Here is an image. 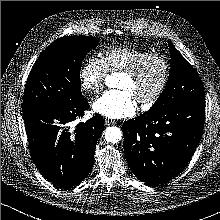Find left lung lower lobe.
Here are the masks:
<instances>
[{"mask_svg":"<svg viewBox=\"0 0 220 220\" xmlns=\"http://www.w3.org/2000/svg\"><path fill=\"white\" fill-rule=\"evenodd\" d=\"M204 116L202 100L148 110L124 122V153L133 174L152 186L180 174L201 140Z\"/></svg>","mask_w":220,"mask_h":220,"instance_id":"obj_1","label":"left lung lower lobe"}]
</instances>
